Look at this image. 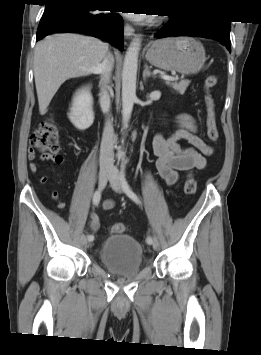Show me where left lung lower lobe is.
<instances>
[{"instance_id":"left-lung-lower-lobe-1","label":"left lung lower lobe","mask_w":261,"mask_h":355,"mask_svg":"<svg viewBox=\"0 0 261 355\" xmlns=\"http://www.w3.org/2000/svg\"><path fill=\"white\" fill-rule=\"evenodd\" d=\"M171 19L160 31L156 38L170 36H197L216 40L231 51L230 21L225 19L195 18L170 15Z\"/></svg>"}]
</instances>
